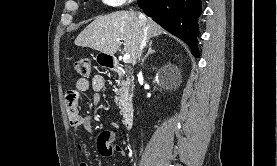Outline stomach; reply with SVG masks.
I'll return each mask as SVG.
<instances>
[{
	"instance_id": "obj_1",
	"label": "stomach",
	"mask_w": 277,
	"mask_h": 166,
	"mask_svg": "<svg viewBox=\"0 0 277 166\" xmlns=\"http://www.w3.org/2000/svg\"><path fill=\"white\" fill-rule=\"evenodd\" d=\"M108 54L105 53H98L96 56V61L97 63L102 66V67H106L110 65V62L112 61V57H110L111 55L107 56Z\"/></svg>"
}]
</instances>
